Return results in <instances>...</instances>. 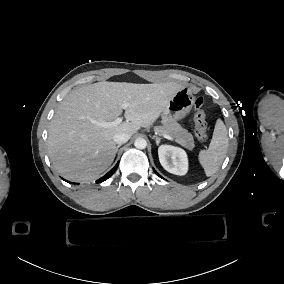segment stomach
Instances as JSON below:
<instances>
[{"label":"stomach","mask_w":284,"mask_h":284,"mask_svg":"<svg viewBox=\"0 0 284 284\" xmlns=\"http://www.w3.org/2000/svg\"><path fill=\"white\" fill-rule=\"evenodd\" d=\"M194 104V97L188 87H183L177 91L168 101L162 117L163 120L170 118L172 120L181 119L186 116Z\"/></svg>","instance_id":"obj_1"}]
</instances>
